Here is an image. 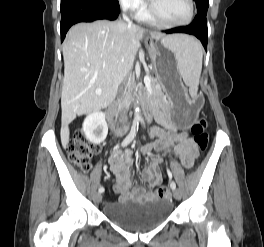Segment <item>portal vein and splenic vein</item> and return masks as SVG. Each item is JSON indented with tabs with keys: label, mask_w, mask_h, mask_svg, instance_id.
Segmentation results:
<instances>
[{
	"label": "portal vein and splenic vein",
	"mask_w": 264,
	"mask_h": 247,
	"mask_svg": "<svg viewBox=\"0 0 264 247\" xmlns=\"http://www.w3.org/2000/svg\"><path fill=\"white\" fill-rule=\"evenodd\" d=\"M144 82H145V83H149V82H150V78H149L148 76H145V78H144ZM96 94H97V95H101V92H100V91H97Z\"/></svg>",
	"instance_id": "obj_1"
}]
</instances>
